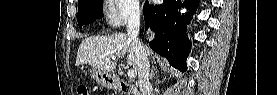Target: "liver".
I'll return each mask as SVG.
<instances>
[{"mask_svg": "<svg viewBox=\"0 0 277 95\" xmlns=\"http://www.w3.org/2000/svg\"><path fill=\"white\" fill-rule=\"evenodd\" d=\"M147 54L153 52L145 47ZM127 53V64L137 70V59L133 41L124 34L118 33L108 36H92L85 38L79 46L76 66L89 64L103 72H112L116 68L114 57L119 58Z\"/></svg>", "mask_w": 277, "mask_h": 95, "instance_id": "liver-1", "label": "liver"}]
</instances>
